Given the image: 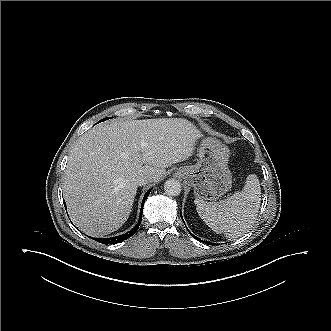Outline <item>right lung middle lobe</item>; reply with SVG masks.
I'll return each instance as SVG.
<instances>
[{
	"instance_id": "1",
	"label": "right lung middle lobe",
	"mask_w": 331,
	"mask_h": 331,
	"mask_svg": "<svg viewBox=\"0 0 331 331\" xmlns=\"http://www.w3.org/2000/svg\"><path fill=\"white\" fill-rule=\"evenodd\" d=\"M109 118H111V117H109ZM109 118H104V119H102L101 121H105V120H107V119H109ZM101 121H99V122H101ZM99 122H98V123H99Z\"/></svg>"
}]
</instances>
